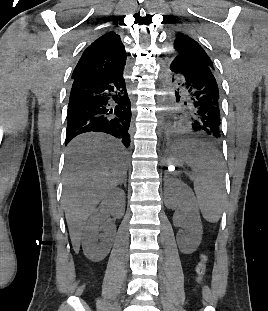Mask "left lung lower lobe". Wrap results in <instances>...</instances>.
Wrapping results in <instances>:
<instances>
[{
  "mask_svg": "<svg viewBox=\"0 0 268 311\" xmlns=\"http://www.w3.org/2000/svg\"><path fill=\"white\" fill-rule=\"evenodd\" d=\"M165 68L175 89L177 102L187 109L178 113L175 132L170 141L207 140L218 145L222 137L221 99L217 73L209 65L198 61L165 60ZM185 100V101H184Z\"/></svg>",
  "mask_w": 268,
  "mask_h": 311,
  "instance_id": "1",
  "label": "left lung lower lobe"
}]
</instances>
